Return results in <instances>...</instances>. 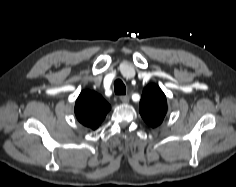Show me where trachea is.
<instances>
[{"label":"trachea","instance_id":"3493384b","mask_svg":"<svg viewBox=\"0 0 236 187\" xmlns=\"http://www.w3.org/2000/svg\"><path fill=\"white\" fill-rule=\"evenodd\" d=\"M114 91H115V94H117V95L126 94V87H125L122 80H120V79L115 80V82H114Z\"/></svg>","mask_w":236,"mask_h":187}]
</instances>
